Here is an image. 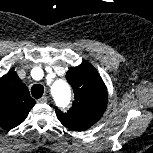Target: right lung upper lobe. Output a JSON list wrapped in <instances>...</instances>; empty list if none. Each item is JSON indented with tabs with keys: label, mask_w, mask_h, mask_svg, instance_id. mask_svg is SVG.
Wrapping results in <instances>:
<instances>
[{
	"label": "right lung upper lobe",
	"mask_w": 153,
	"mask_h": 153,
	"mask_svg": "<svg viewBox=\"0 0 153 153\" xmlns=\"http://www.w3.org/2000/svg\"><path fill=\"white\" fill-rule=\"evenodd\" d=\"M28 88L14 69L0 78V125L12 129L21 124L35 105Z\"/></svg>",
	"instance_id": "obj_1"
}]
</instances>
